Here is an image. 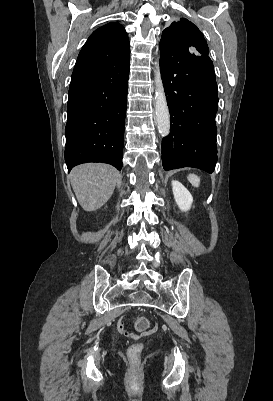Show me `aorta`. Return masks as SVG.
Segmentation results:
<instances>
[{"mask_svg": "<svg viewBox=\"0 0 273 401\" xmlns=\"http://www.w3.org/2000/svg\"><path fill=\"white\" fill-rule=\"evenodd\" d=\"M155 83V121L160 135L165 137L170 133V113L159 66L156 68L155 72Z\"/></svg>", "mask_w": 273, "mask_h": 401, "instance_id": "obj_1", "label": "aorta"}]
</instances>
